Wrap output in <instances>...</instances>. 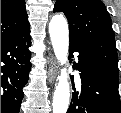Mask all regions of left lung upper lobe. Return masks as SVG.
Here are the masks:
<instances>
[{"label":"left lung upper lobe","instance_id":"5c2ea615","mask_svg":"<svg viewBox=\"0 0 121 113\" xmlns=\"http://www.w3.org/2000/svg\"><path fill=\"white\" fill-rule=\"evenodd\" d=\"M53 11L67 17L71 41L119 75L111 18L101 0H57Z\"/></svg>","mask_w":121,"mask_h":113}]
</instances>
